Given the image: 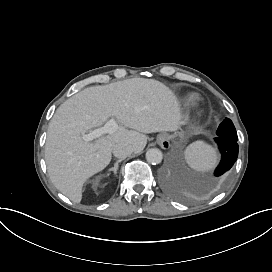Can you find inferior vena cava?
Instances as JSON below:
<instances>
[{"mask_svg":"<svg viewBox=\"0 0 272 272\" xmlns=\"http://www.w3.org/2000/svg\"><path fill=\"white\" fill-rule=\"evenodd\" d=\"M132 152V146L126 143L117 144L113 147V155L120 159L128 157Z\"/></svg>","mask_w":272,"mask_h":272,"instance_id":"inferior-vena-cava-1","label":"inferior vena cava"}]
</instances>
